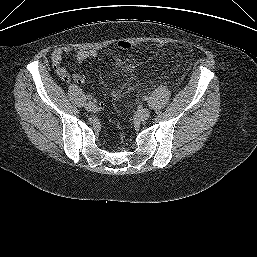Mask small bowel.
<instances>
[{"label":"small bowel","mask_w":257,"mask_h":257,"mask_svg":"<svg viewBox=\"0 0 257 257\" xmlns=\"http://www.w3.org/2000/svg\"><path fill=\"white\" fill-rule=\"evenodd\" d=\"M70 52L71 50L68 48H56L53 50L51 55V62L55 71L57 72L58 75H60L63 78L67 77V72L61 66L62 59L66 54H69ZM96 56H97V51L94 49H83V50L75 51L73 53V58L78 62H84L89 59H93ZM116 65L121 71L130 75L131 77L134 75L137 69V64L128 57H118L116 59ZM72 80L76 84H83L85 82L83 76L78 73L72 75Z\"/></svg>","instance_id":"small-bowel-1"}]
</instances>
